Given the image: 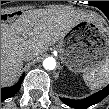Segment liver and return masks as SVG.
Segmentation results:
<instances>
[{
  "instance_id": "6515ba94",
  "label": "liver",
  "mask_w": 109,
  "mask_h": 109,
  "mask_svg": "<svg viewBox=\"0 0 109 109\" xmlns=\"http://www.w3.org/2000/svg\"><path fill=\"white\" fill-rule=\"evenodd\" d=\"M84 14L65 9L25 11L15 22L1 25V84H12L23 67V53L34 58L46 52L49 45L60 41Z\"/></svg>"
}]
</instances>
